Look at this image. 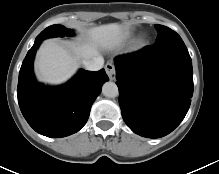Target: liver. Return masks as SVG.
<instances>
[{
    "label": "liver",
    "instance_id": "1",
    "mask_svg": "<svg viewBox=\"0 0 219 174\" xmlns=\"http://www.w3.org/2000/svg\"><path fill=\"white\" fill-rule=\"evenodd\" d=\"M122 33L116 23L101 25L89 31L90 42L78 48L60 45L54 40L44 42L36 57V73L41 81L57 84L71 77L78 67L77 59L98 57L99 48L113 46Z\"/></svg>",
    "mask_w": 219,
    "mask_h": 174
}]
</instances>
